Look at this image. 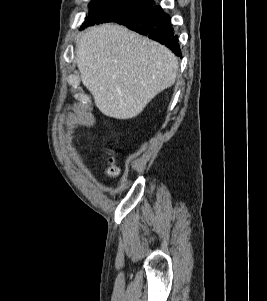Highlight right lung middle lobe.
<instances>
[{
    "label": "right lung middle lobe",
    "mask_w": 267,
    "mask_h": 301,
    "mask_svg": "<svg viewBox=\"0 0 267 301\" xmlns=\"http://www.w3.org/2000/svg\"><path fill=\"white\" fill-rule=\"evenodd\" d=\"M150 6L152 2L148 0H92L89 4L90 12L82 26L115 22L125 15L139 12Z\"/></svg>",
    "instance_id": "right-lung-middle-lobe-1"
}]
</instances>
